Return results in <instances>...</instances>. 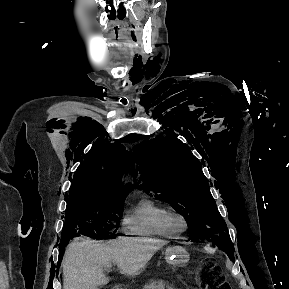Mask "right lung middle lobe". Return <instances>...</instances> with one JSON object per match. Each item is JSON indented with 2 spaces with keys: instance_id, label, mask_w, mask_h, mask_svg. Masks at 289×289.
<instances>
[{
  "instance_id": "obj_1",
  "label": "right lung middle lobe",
  "mask_w": 289,
  "mask_h": 289,
  "mask_svg": "<svg viewBox=\"0 0 289 289\" xmlns=\"http://www.w3.org/2000/svg\"><path fill=\"white\" fill-rule=\"evenodd\" d=\"M125 196L101 195L70 198L66 209L65 223L61 242L67 244L70 239L83 235L90 238L105 239L112 237L109 230L115 228L110 221L119 224Z\"/></svg>"
}]
</instances>
